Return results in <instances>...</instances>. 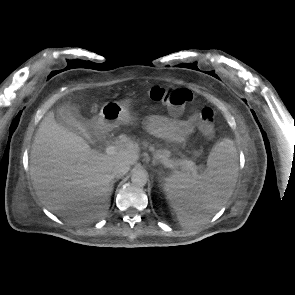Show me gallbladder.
I'll return each mask as SVG.
<instances>
[{
    "label": "gallbladder",
    "mask_w": 295,
    "mask_h": 295,
    "mask_svg": "<svg viewBox=\"0 0 295 295\" xmlns=\"http://www.w3.org/2000/svg\"><path fill=\"white\" fill-rule=\"evenodd\" d=\"M56 121L65 129L80 133L78 126L82 125V117L79 112L70 106H60L56 110Z\"/></svg>",
    "instance_id": "bac80fb5"
}]
</instances>
